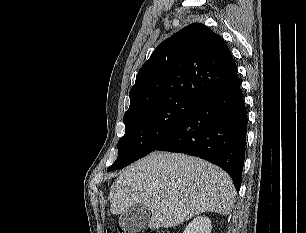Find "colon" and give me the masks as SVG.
<instances>
[{
    "label": "colon",
    "instance_id": "1",
    "mask_svg": "<svg viewBox=\"0 0 306 233\" xmlns=\"http://www.w3.org/2000/svg\"><path fill=\"white\" fill-rule=\"evenodd\" d=\"M109 233H129V232H126L124 230H112ZM142 233H171V232L167 229H156V230H150L148 232H142Z\"/></svg>",
    "mask_w": 306,
    "mask_h": 233
}]
</instances>
